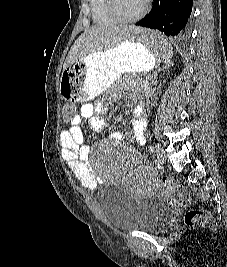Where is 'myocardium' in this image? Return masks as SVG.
Returning <instances> with one entry per match:
<instances>
[{"label": "myocardium", "mask_w": 227, "mask_h": 267, "mask_svg": "<svg viewBox=\"0 0 227 267\" xmlns=\"http://www.w3.org/2000/svg\"><path fill=\"white\" fill-rule=\"evenodd\" d=\"M117 2L118 0H106V7H107L109 14L115 20H117V22H121V23L136 22L140 20L142 17H144V15L147 13V10H148V0H145L141 10L137 14L133 16H125L119 11Z\"/></svg>", "instance_id": "f54148a6"}]
</instances>
